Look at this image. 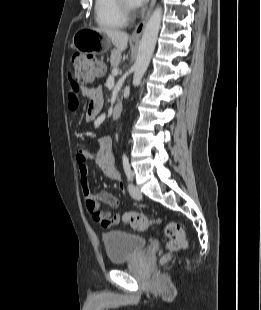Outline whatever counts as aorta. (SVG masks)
Instances as JSON below:
<instances>
[{
  "instance_id": "762f6f07",
  "label": "aorta",
  "mask_w": 261,
  "mask_h": 310,
  "mask_svg": "<svg viewBox=\"0 0 261 310\" xmlns=\"http://www.w3.org/2000/svg\"><path fill=\"white\" fill-rule=\"evenodd\" d=\"M162 8L156 7L147 21L133 67V85H139L153 55L161 25Z\"/></svg>"
}]
</instances>
